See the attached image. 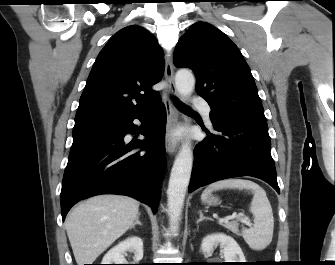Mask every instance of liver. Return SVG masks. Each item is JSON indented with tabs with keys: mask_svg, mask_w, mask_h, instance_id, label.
Returning <instances> with one entry per match:
<instances>
[{
	"mask_svg": "<svg viewBox=\"0 0 335 265\" xmlns=\"http://www.w3.org/2000/svg\"><path fill=\"white\" fill-rule=\"evenodd\" d=\"M139 215V203L120 195H99L76 206L65 228L78 265L92 264Z\"/></svg>",
	"mask_w": 335,
	"mask_h": 265,
	"instance_id": "6515ba94",
	"label": "liver"
}]
</instances>
